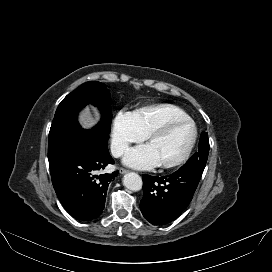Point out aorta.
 <instances>
[{
  "label": "aorta",
  "instance_id": "obj_1",
  "mask_svg": "<svg viewBox=\"0 0 272 272\" xmlns=\"http://www.w3.org/2000/svg\"><path fill=\"white\" fill-rule=\"evenodd\" d=\"M124 186L131 191H139L142 188V178L133 172L127 173L123 177Z\"/></svg>",
  "mask_w": 272,
  "mask_h": 272
}]
</instances>
